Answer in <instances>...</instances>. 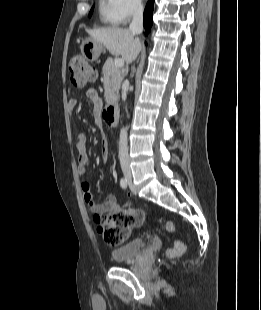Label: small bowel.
Wrapping results in <instances>:
<instances>
[{"mask_svg":"<svg viewBox=\"0 0 261 310\" xmlns=\"http://www.w3.org/2000/svg\"><path fill=\"white\" fill-rule=\"evenodd\" d=\"M86 95L89 98V100L93 103L95 116L98 117L102 109L101 98L99 97L97 91L94 88L87 89ZM76 104L77 103L75 100H70L68 103L69 110L73 111L76 107ZM77 139H78V144H77L78 172L80 176L86 177L89 174V166H90V159H89V155L87 152L86 140L83 134H78ZM107 151H108L107 141L104 140L102 143V154H103L104 160L107 159ZM81 189L83 192V198L85 202L88 204L89 209L94 213V220L96 222H97L98 216H101L107 213L108 214L118 213V212H121L123 208H126L128 211L129 210L127 208L128 206L134 207V204L132 205L130 204L131 201H128L124 206H120L117 203L115 196L113 195L106 196V198L102 202L94 201L91 190H90V184L87 181L82 182ZM133 209H135V207Z\"/></svg>","mask_w":261,"mask_h":310,"instance_id":"c3829d8e","label":"small bowel"}]
</instances>
